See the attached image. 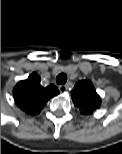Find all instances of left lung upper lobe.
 <instances>
[{"instance_id": "obj_1", "label": "left lung upper lobe", "mask_w": 122, "mask_h": 154, "mask_svg": "<svg viewBox=\"0 0 122 154\" xmlns=\"http://www.w3.org/2000/svg\"><path fill=\"white\" fill-rule=\"evenodd\" d=\"M73 103L82 114H92L101 104L100 96L96 93L93 84L88 80L78 81L71 93Z\"/></svg>"}]
</instances>
